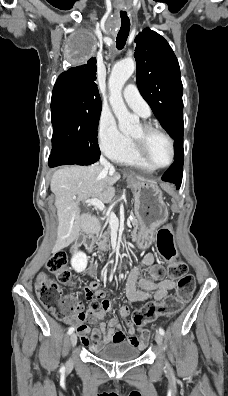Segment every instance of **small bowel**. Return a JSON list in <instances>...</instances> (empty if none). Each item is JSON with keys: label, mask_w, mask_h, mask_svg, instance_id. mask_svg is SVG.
I'll return each mask as SVG.
<instances>
[{"label": "small bowel", "mask_w": 228, "mask_h": 396, "mask_svg": "<svg viewBox=\"0 0 228 396\" xmlns=\"http://www.w3.org/2000/svg\"><path fill=\"white\" fill-rule=\"evenodd\" d=\"M141 265L149 268V277L140 276L139 265L131 269L125 284V294L129 303H148L166 298L168 292L175 287L174 280L165 277V270L161 265L156 264L153 253H147L143 257ZM84 292L88 300L95 298L100 300L101 303L99 311L82 313L79 320L77 332L80 335L81 343L85 347L94 351L104 344L120 341H126L139 348H143L146 345L149 337L147 330H143L139 335H136V329L133 324H129L127 330H124L119 323V318L116 316L108 322L102 321L110 310V302L106 299L104 291L100 289L98 281L93 280L87 283L84 287ZM129 312V307L124 306L120 309L119 314L121 317H126ZM84 321L90 323L100 321V323L98 327L90 330Z\"/></svg>", "instance_id": "c3829d8e"}]
</instances>
